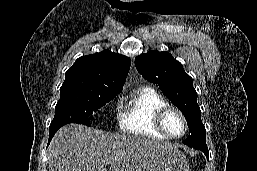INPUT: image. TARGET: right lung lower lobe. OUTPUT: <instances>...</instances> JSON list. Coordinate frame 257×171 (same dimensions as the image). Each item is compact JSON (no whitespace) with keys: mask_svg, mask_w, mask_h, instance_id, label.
<instances>
[{"mask_svg":"<svg viewBox=\"0 0 257 171\" xmlns=\"http://www.w3.org/2000/svg\"><path fill=\"white\" fill-rule=\"evenodd\" d=\"M60 127H62V125L50 126V128H49V141H48V145H49V143L52 140L53 136L55 135V133L57 132V130Z\"/></svg>","mask_w":257,"mask_h":171,"instance_id":"98d812e1","label":"right lung lower lobe"}]
</instances>
